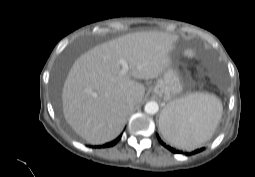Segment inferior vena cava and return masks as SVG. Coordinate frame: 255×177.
Segmentation results:
<instances>
[{
    "label": "inferior vena cava",
    "instance_id": "obj_1",
    "mask_svg": "<svg viewBox=\"0 0 255 177\" xmlns=\"http://www.w3.org/2000/svg\"><path fill=\"white\" fill-rule=\"evenodd\" d=\"M127 105H128L129 107H133V106H134V99H132V98L128 99V100H127Z\"/></svg>",
    "mask_w": 255,
    "mask_h": 177
}]
</instances>
